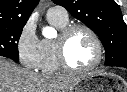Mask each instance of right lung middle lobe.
<instances>
[{
    "mask_svg": "<svg viewBox=\"0 0 127 92\" xmlns=\"http://www.w3.org/2000/svg\"><path fill=\"white\" fill-rule=\"evenodd\" d=\"M24 26L0 27V56L18 59V41Z\"/></svg>",
    "mask_w": 127,
    "mask_h": 92,
    "instance_id": "right-lung-middle-lobe-1",
    "label": "right lung middle lobe"
}]
</instances>
